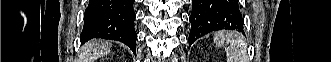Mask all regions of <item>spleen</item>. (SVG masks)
Returning <instances> with one entry per match:
<instances>
[{"label":"spleen","mask_w":331,"mask_h":62,"mask_svg":"<svg viewBox=\"0 0 331 62\" xmlns=\"http://www.w3.org/2000/svg\"><path fill=\"white\" fill-rule=\"evenodd\" d=\"M214 43L217 47L224 46L227 62H248L246 44L239 33L229 32L225 35L218 32L214 36Z\"/></svg>","instance_id":"1"}]
</instances>
